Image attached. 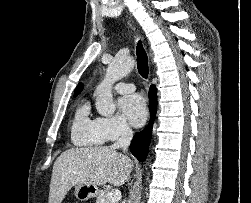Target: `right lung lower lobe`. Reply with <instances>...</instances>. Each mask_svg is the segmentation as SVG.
Returning a JSON list of instances; mask_svg holds the SVG:
<instances>
[{"instance_id":"1","label":"right lung lower lobe","mask_w":251,"mask_h":203,"mask_svg":"<svg viewBox=\"0 0 251 203\" xmlns=\"http://www.w3.org/2000/svg\"><path fill=\"white\" fill-rule=\"evenodd\" d=\"M149 97L151 112L150 122L143 131H141L140 133L138 132L134 135L130 145V151L141 162H143L147 157L148 147L151 141L152 127L157 109V91L154 85H151L150 87Z\"/></svg>"}]
</instances>
